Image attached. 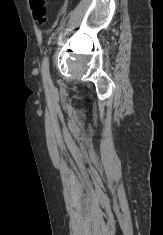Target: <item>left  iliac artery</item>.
Masks as SVG:
<instances>
[{
  "mask_svg": "<svg viewBox=\"0 0 163 235\" xmlns=\"http://www.w3.org/2000/svg\"><path fill=\"white\" fill-rule=\"evenodd\" d=\"M42 76L47 81H51L50 79V71H49V57L45 56L42 61Z\"/></svg>",
  "mask_w": 163,
  "mask_h": 235,
  "instance_id": "left-iliac-artery-1",
  "label": "left iliac artery"
}]
</instances>
